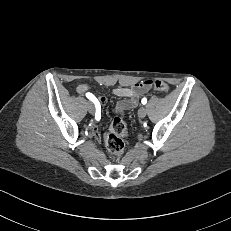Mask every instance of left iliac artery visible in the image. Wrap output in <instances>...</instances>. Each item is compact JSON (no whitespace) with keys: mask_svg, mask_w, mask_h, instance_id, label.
<instances>
[{"mask_svg":"<svg viewBox=\"0 0 231 231\" xmlns=\"http://www.w3.org/2000/svg\"><path fill=\"white\" fill-rule=\"evenodd\" d=\"M141 102H142V104H146L147 103V99L143 98Z\"/></svg>","mask_w":231,"mask_h":231,"instance_id":"obj_1","label":"left iliac artery"}]
</instances>
